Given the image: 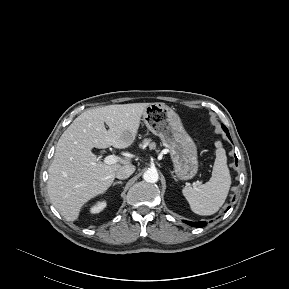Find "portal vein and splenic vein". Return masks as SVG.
I'll return each mask as SVG.
<instances>
[{
    "label": "portal vein and splenic vein",
    "instance_id": "portal-vein-and-splenic-vein-1",
    "mask_svg": "<svg viewBox=\"0 0 289 289\" xmlns=\"http://www.w3.org/2000/svg\"><path fill=\"white\" fill-rule=\"evenodd\" d=\"M117 162H119V157L116 155H109L104 159V163L108 165L115 164Z\"/></svg>",
    "mask_w": 289,
    "mask_h": 289
}]
</instances>
